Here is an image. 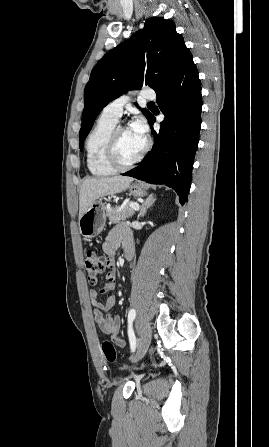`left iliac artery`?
Wrapping results in <instances>:
<instances>
[{
  "label": "left iliac artery",
  "mask_w": 269,
  "mask_h": 447,
  "mask_svg": "<svg viewBox=\"0 0 269 447\" xmlns=\"http://www.w3.org/2000/svg\"><path fill=\"white\" fill-rule=\"evenodd\" d=\"M136 311L135 309H131L128 313V336H129V342L131 350L134 351L136 348V338L133 332L132 323L135 319Z\"/></svg>",
  "instance_id": "1"
}]
</instances>
